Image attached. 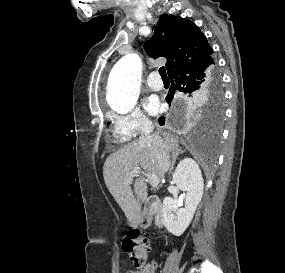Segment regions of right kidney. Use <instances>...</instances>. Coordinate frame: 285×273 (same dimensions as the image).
Returning a JSON list of instances; mask_svg holds the SVG:
<instances>
[{
    "instance_id": "right-kidney-1",
    "label": "right kidney",
    "mask_w": 285,
    "mask_h": 273,
    "mask_svg": "<svg viewBox=\"0 0 285 273\" xmlns=\"http://www.w3.org/2000/svg\"><path fill=\"white\" fill-rule=\"evenodd\" d=\"M173 182L178 189L186 191L185 207L178 208L173 198L165 197L162 217L166 229L180 236L189 226L203 196L204 182L198 164L192 158H184L173 174Z\"/></svg>"
}]
</instances>
